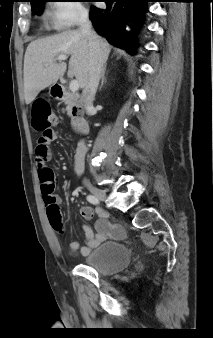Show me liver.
Here are the masks:
<instances>
[{"instance_id":"liver-1","label":"liver","mask_w":213,"mask_h":338,"mask_svg":"<svg viewBox=\"0 0 213 338\" xmlns=\"http://www.w3.org/2000/svg\"><path fill=\"white\" fill-rule=\"evenodd\" d=\"M102 49L108 56L109 43L100 38ZM59 55H70L69 76H75L84 88L89 78L90 50L88 39L80 31H65L54 36L32 41L24 57V97L26 104L34 101L38 93L55 84L66 71V63H56Z\"/></svg>"}]
</instances>
